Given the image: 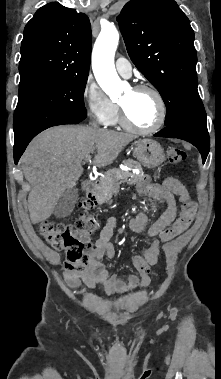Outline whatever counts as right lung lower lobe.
Masks as SVG:
<instances>
[{
  "label": "right lung lower lobe",
  "instance_id": "98d812e1",
  "mask_svg": "<svg viewBox=\"0 0 221 379\" xmlns=\"http://www.w3.org/2000/svg\"><path fill=\"white\" fill-rule=\"evenodd\" d=\"M82 120L83 119H81V118H69L68 117V118H65L62 121H60L58 125H60V124H77ZM30 141L31 140H28L26 142L14 143V161H15V164L18 163L20 156L23 154L25 148L27 147V145Z\"/></svg>",
  "mask_w": 221,
  "mask_h": 379
}]
</instances>
